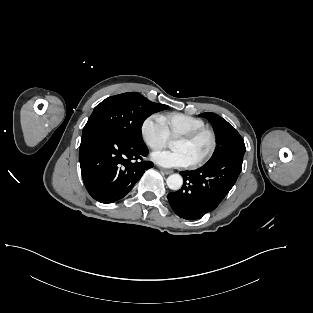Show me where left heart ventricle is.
Segmentation results:
<instances>
[{"label": "left heart ventricle", "instance_id": "1", "mask_svg": "<svg viewBox=\"0 0 313 313\" xmlns=\"http://www.w3.org/2000/svg\"><path fill=\"white\" fill-rule=\"evenodd\" d=\"M173 147L183 150L192 163L207 152L210 147V137L208 134H204L191 142L177 139L173 143Z\"/></svg>", "mask_w": 313, "mask_h": 313}]
</instances>
